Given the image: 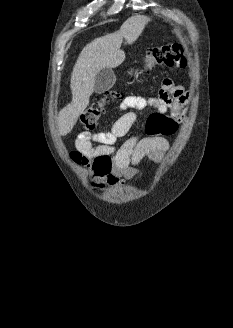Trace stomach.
Returning a JSON list of instances; mask_svg holds the SVG:
<instances>
[{"label": "stomach", "mask_w": 233, "mask_h": 328, "mask_svg": "<svg viewBox=\"0 0 233 328\" xmlns=\"http://www.w3.org/2000/svg\"><path fill=\"white\" fill-rule=\"evenodd\" d=\"M127 73H128L129 75H133L134 73H137V69L130 68V69H128Z\"/></svg>", "instance_id": "1"}]
</instances>
